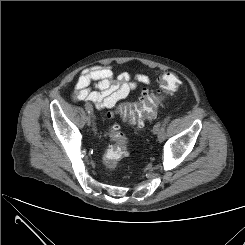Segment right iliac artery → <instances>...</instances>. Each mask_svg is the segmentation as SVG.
Masks as SVG:
<instances>
[{"instance_id":"82829eb1","label":"right iliac artery","mask_w":245,"mask_h":245,"mask_svg":"<svg viewBox=\"0 0 245 245\" xmlns=\"http://www.w3.org/2000/svg\"><path fill=\"white\" fill-rule=\"evenodd\" d=\"M86 111H87L89 114H92L93 109H92V108H86Z\"/></svg>"}]
</instances>
